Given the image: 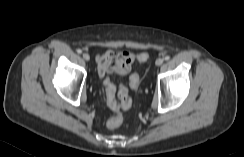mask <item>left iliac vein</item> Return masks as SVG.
Wrapping results in <instances>:
<instances>
[{"label":"left iliac vein","instance_id":"obj_1","mask_svg":"<svg viewBox=\"0 0 244 157\" xmlns=\"http://www.w3.org/2000/svg\"><path fill=\"white\" fill-rule=\"evenodd\" d=\"M155 64H156L157 66L162 65V64H163V59H162V58H158V59L156 60Z\"/></svg>","mask_w":244,"mask_h":157}]
</instances>
